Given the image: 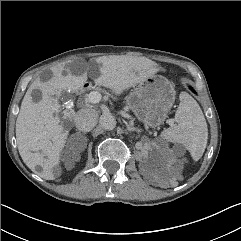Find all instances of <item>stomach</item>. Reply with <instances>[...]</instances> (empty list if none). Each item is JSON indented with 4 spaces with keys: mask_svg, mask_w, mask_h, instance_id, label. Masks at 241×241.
Segmentation results:
<instances>
[{
    "mask_svg": "<svg viewBox=\"0 0 241 241\" xmlns=\"http://www.w3.org/2000/svg\"><path fill=\"white\" fill-rule=\"evenodd\" d=\"M174 102V85L161 75H152L135 85L126 99L136 118L151 128L164 123Z\"/></svg>",
    "mask_w": 241,
    "mask_h": 241,
    "instance_id": "obj_1",
    "label": "stomach"
}]
</instances>
